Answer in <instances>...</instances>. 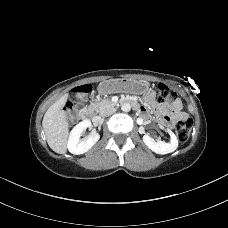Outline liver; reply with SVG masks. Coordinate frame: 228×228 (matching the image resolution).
<instances>
[{"label":"liver","mask_w":228,"mask_h":228,"mask_svg":"<svg viewBox=\"0 0 228 228\" xmlns=\"http://www.w3.org/2000/svg\"><path fill=\"white\" fill-rule=\"evenodd\" d=\"M67 98L68 94H65L52 104L46 111L42 121L48 145L59 154H65L67 151L69 124L63 110Z\"/></svg>","instance_id":"liver-1"}]
</instances>
